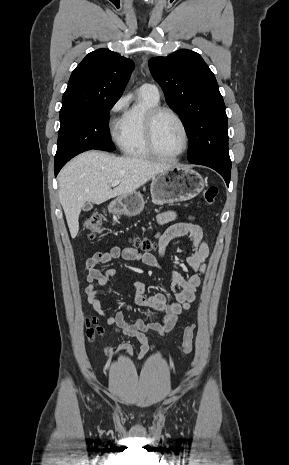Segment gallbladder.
Here are the masks:
<instances>
[{"label": "gallbladder", "instance_id": "1", "mask_svg": "<svg viewBox=\"0 0 289 465\" xmlns=\"http://www.w3.org/2000/svg\"><path fill=\"white\" fill-rule=\"evenodd\" d=\"M92 207H93L92 204L90 202H87V203H85V205L83 207V210L84 211H89V210L92 209Z\"/></svg>", "mask_w": 289, "mask_h": 465}]
</instances>
